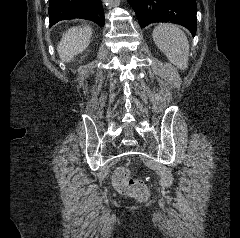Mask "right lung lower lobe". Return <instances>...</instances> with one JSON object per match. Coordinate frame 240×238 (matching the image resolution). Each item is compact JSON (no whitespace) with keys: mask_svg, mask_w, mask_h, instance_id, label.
I'll return each instance as SVG.
<instances>
[{"mask_svg":"<svg viewBox=\"0 0 240 238\" xmlns=\"http://www.w3.org/2000/svg\"><path fill=\"white\" fill-rule=\"evenodd\" d=\"M50 27L61 20L88 19L104 26V11L101 0H50Z\"/></svg>","mask_w":240,"mask_h":238,"instance_id":"right-lung-lower-lobe-1","label":"right lung lower lobe"}]
</instances>
